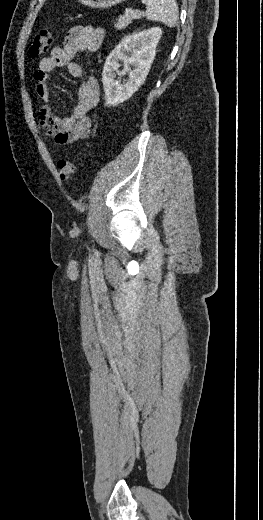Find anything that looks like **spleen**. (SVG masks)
Here are the masks:
<instances>
[{"mask_svg":"<svg viewBox=\"0 0 263 520\" xmlns=\"http://www.w3.org/2000/svg\"><path fill=\"white\" fill-rule=\"evenodd\" d=\"M147 6L145 16L150 21H160L175 27L178 20V6L175 0H142Z\"/></svg>","mask_w":263,"mask_h":520,"instance_id":"spleen-1","label":"spleen"}]
</instances>
